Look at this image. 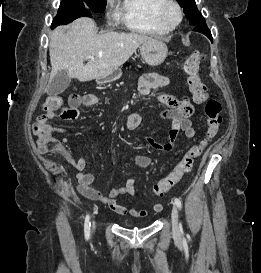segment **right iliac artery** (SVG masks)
Returning a JSON list of instances; mask_svg holds the SVG:
<instances>
[{"mask_svg": "<svg viewBox=\"0 0 261 273\" xmlns=\"http://www.w3.org/2000/svg\"><path fill=\"white\" fill-rule=\"evenodd\" d=\"M90 227H91L90 217L89 215H87L85 218V224H84V234H85L86 240H88L90 237Z\"/></svg>", "mask_w": 261, "mask_h": 273, "instance_id": "1", "label": "right iliac artery"}]
</instances>
